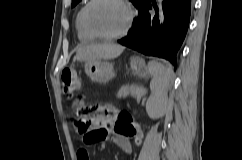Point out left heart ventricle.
<instances>
[{"label": "left heart ventricle", "mask_w": 242, "mask_h": 160, "mask_svg": "<svg viewBox=\"0 0 242 160\" xmlns=\"http://www.w3.org/2000/svg\"><path fill=\"white\" fill-rule=\"evenodd\" d=\"M88 24L99 34H116L128 20L126 8L118 0H98L88 10Z\"/></svg>", "instance_id": "b2bd125f"}]
</instances>
